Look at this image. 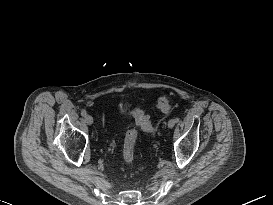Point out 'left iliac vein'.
I'll use <instances>...</instances> for the list:
<instances>
[{
	"mask_svg": "<svg viewBox=\"0 0 273 205\" xmlns=\"http://www.w3.org/2000/svg\"><path fill=\"white\" fill-rule=\"evenodd\" d=\"M175 120L174 119H170L169 121H168V127L169 128H173L174 127V125H175Z\"/></svg>",
	"mask_w": 273,
	"mask_h": 205,
	"instance_id": "4c4485c4",
	"label": "left iliac vein"
}]
</instances>
